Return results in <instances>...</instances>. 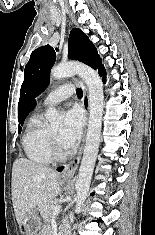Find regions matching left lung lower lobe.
Returning <instances> with one entry per match:
<instances>
[{
  "label": "left lung lower lobe",
  "mask_w": 155,
  "mask_h": 235,
  "mask_svg": "<svg viewBox=\"0 0 155 235\" xmlns=\"http://www.w3.org/2000/svg\"><path fill=\"white\" fill-rule=\"evenodd\" d=\"M98 72H99L100 76H103V82L105 83L106 82V71H105L104 67H102ZM62 170H63V167L58 169V171H62Z\"/></svg>",
  "instance_id": "0a47b994"
}]
</instances>
